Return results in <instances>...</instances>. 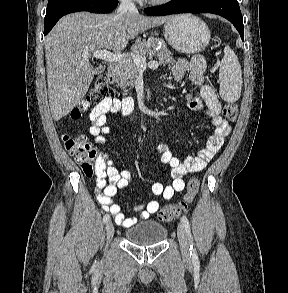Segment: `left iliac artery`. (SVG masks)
I'll use <instances>...</instances> for the list:
<instances>
[{"label":"left iliac artery","instance_id":"left-iliac-artery-1","mask_svg":"<svg viewBox=\"0 0 288 293\" xmlns=\"http://www.w3.org/2000/svg\"><path fill=\"white\" fill-rule=\"evenodd\" d=\"M181 221L183 223V226L185 228V231L188 235L189 241H190V254L191 257L193 259V261L197 262L198 261V257H197V252L196 249L194 247V243L192 240V236H191V230H190V224H189V220L187 219V217L185 215L182 216Z\"/></svg>","mask_w":288,"mask_h":293}]
</instances>
